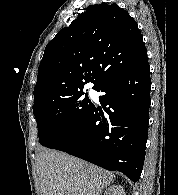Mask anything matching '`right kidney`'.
Segmentation results:
<instances>
[{"label": "right kidney", "mask_w": 178, "mask_h": 195, "mask_svg": "<svg viewBox=\"0 0 178 195\" xmlns=\"http://www.w3.org/2000/svg\"><path fill=\"white\" fill-rule=\"evenodd\" d=\"M104 195H125V192L122 186L113 185L105 191Z\"/></svg>", "instance_id": "ca27d5eb"}]
</instances>
